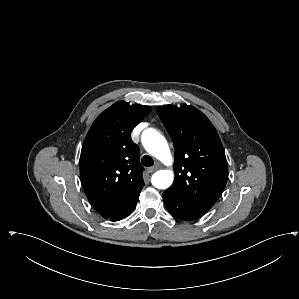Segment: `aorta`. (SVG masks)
Returning a JSON list of instances; mask_svg holds the SVG:
<instances>
[{"instance_id":"obj_1","label":"aorta","mask_w":299,"mask_h":299,"mask_svg":"<svg viewBox=\"0 0 299 299\" xmlns=\"http://www.w3.org/2000/svg\"><path fill=\"white\" fill-rule=\"evenodd\" d=\"M142 143L145 150L165 164L172 162V156L166 139L155 129L148 128L142 133ZM174 180L171 170H160L152 175V185L158 189L169 188Z\"/></svg>"}]
</instances>
